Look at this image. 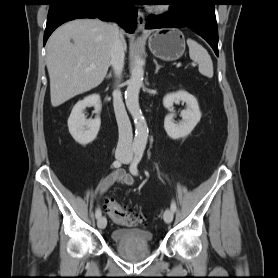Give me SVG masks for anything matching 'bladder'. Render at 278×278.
<instances>
[{"instance_id": "obj_1", "label": "bladder", "mask_w": 278, "mask_h": 278, "mask_svg": "<svg viewBox=\"0 0 278 278\" xmlns=\"http://www.w3.org/2000/svg\"><path fill=\"white\" fill-rule=\"evenodd\" d=\"M153 238L152 232L141 228H118L111 233V239L117 245L146 246Z\"/></svg>"}]
</instances>
